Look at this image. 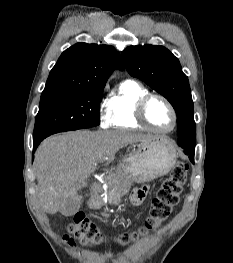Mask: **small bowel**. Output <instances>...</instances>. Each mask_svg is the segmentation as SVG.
I'll return each mask as SVG.
<instances>
[{"mask_svg":"<svg viewBox=\"0 0 233 263\" xmlns=\"http://www.w3.org/2000/svg\"><path fill=\"white\" fill-rule=\"evenodd\" d=\"M147 195V187L136 188L131 195V202L134 205H140Z\"/></svg>","mask_w":233,"mask_h":263,"instance_id":"1","label":"small bowel"}]
</instances>
